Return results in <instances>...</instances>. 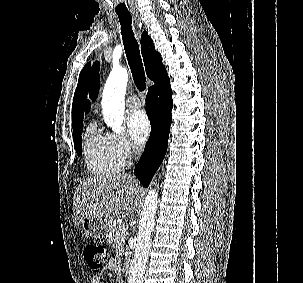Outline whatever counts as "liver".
<instances>
[{"label":"liver","instance_id":"liver-1","mask_svg":"<svg viewBox=\"0 0 303 283\" xmlns=\"http://www.w3.org/2000/svg\"><path fill=\"white\" fill-rule=\"evenodd\" d=\"M141 191L142 187L137 180L128 174L81 181L73 202L75 226H79L84 218L113 219V216L121 213L133 214Z\"/></svg>","mask_w":303,"mask_h":283}]
</instances>
